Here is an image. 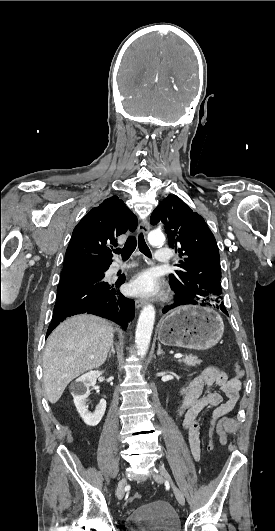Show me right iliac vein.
<instances>
[{"mask_svg":"<svg viewBox=\"0 0 275 531\" xmlns=\"http://www.w3.org/2000/svg\"><path fill=\"white\" fill-rule=\"evenodd\" d=\"M127 484L126 478H122L117 486V495L122 498L124 496V487Z\"/></svg>","mask_w":275,"mask_h":531,"instance_id":"63e3f726","label":"right iliac vein"}]
</instances>
